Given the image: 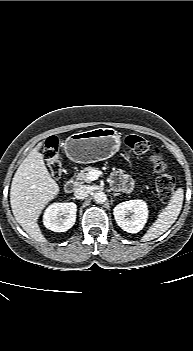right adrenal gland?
Masks as SVG:
<instances>
[{
  "label": "right adrenal gland",
  "mask_w": 193,
  "mask_h": 351,
  "mask_svg": "<svg viewBox=\"0 0 193 351\" xmlns=\"http://www.w3.org/2000/svg\"><path fill=\"white\" fill-rule=\"evenodd\" d=\"M72 199H73V200H76V198H74V197H73Z\"/></svg>",
  "instance_id": "obj_1"
}]
</instances>
